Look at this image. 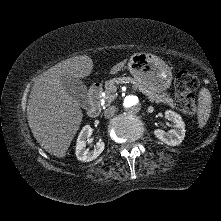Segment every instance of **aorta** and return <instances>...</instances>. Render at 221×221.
<instances>
[{
  "label": "aorta",
  "instance_id": "762f6f07",
  "mask_svg": "<svg viewBox=\"0 0 221 221\" xmlns=\"http://www.w3.org/2000/svg\"><path fill=\"white\" fill-rule=\"evenodd\" d=\"M123 106L128 113H135L140 109V101L136 95H128L124 98Z\"/></svg>",
  "mask_w": 221,
  "mask_h": 221
}]
</instances>
